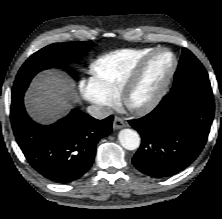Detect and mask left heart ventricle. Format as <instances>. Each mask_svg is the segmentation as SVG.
I'll return each mask as SVG.
<instances>
[{"label":"left heart ventricle","mask_w":222,"mask_h":219,"mask_svg":"<svg viewBox=\"0 0 222 219\" xmlns=\"http://www.w3.org/2000/svg\"><path fill=\"white\" fill-rule=\"evenodd\" d=\"M172 64L169 53H161L154 57L144 75L141 84L132 96L135 103H142L151 98L161 86Z\"/></svg>","instance_id":"obj_1"}]
</instances>
